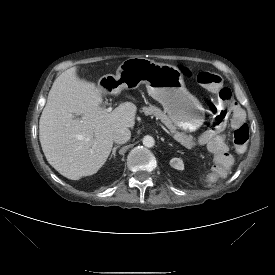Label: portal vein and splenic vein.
Wrapping results in <instances>:
<instances>
[{"instance_id": "1", "label": "portal vein and splenic vein", "mask_w": 275, "mask_h": 275, "mask_svg": "<svg viewBox=\"0 0 275 275\" xmlns=\"http://www.w3.org/2000/svg\"><path fill=\"white\" fill-rule=\"evenodd\" d=\"M111 110H112L111 107H109V108L106 109L107 112H110ZM158 124L161 126V128H162L167 134H169V135L172 136L176 141L179 142L178 138H177L175 135L171 134L162 124H160V123H158Z\"/></svg>"}]
</instances>
